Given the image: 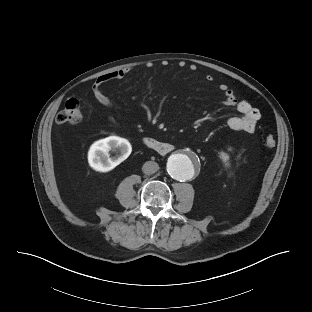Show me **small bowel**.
<instances>
[{"instance_id": "c3829d8e", "label": "small bowel", "mask_w": 312, "mask_h": 312, "mask_svg": "<svg viewBox=\"0 0 312 312\" xmlns=\"http://www.w3.org/2000/svg\"><path fill=\"white\" fill-rule=\"evenodd\" d=\"M132 69V67H126L99 76L92 86L95 99L107 108H114L116 106L115 102L104 93L102 86L110 81L124 78ZM207 79L211 80L212 77L208 76ZM219 90L224 96L223 104L228 107H235L241 114L240 116L228 118L227 126L234 131L254 132L261 118L259 110L253 107L248 101L237 99L234 92L227 85L221 84Z\"/></svg>"}]
</instances>
